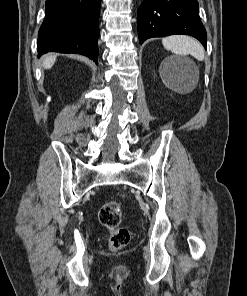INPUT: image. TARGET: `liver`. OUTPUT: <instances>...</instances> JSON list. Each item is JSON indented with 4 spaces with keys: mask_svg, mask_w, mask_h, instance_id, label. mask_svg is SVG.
<instances>
[{
    "mask_svg": "<svg viewBox=\"0 0 247 296\" xmlns=\"http://www.w3.org/2000/svg\"><path fill=\"white\" fill-rule=\"evenodd\" d=\"M55 61H56V55L54 54L44 56L43 67L45 69H50L54 65Z\"/></svg>",
    "mask_w": 247,
    "mask_h": 296,
    "instance_id": "6515ba94",
    "label": "liver"
}]
</instances>
